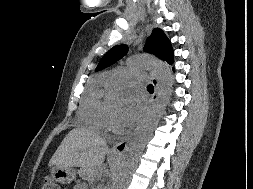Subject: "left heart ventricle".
Masks as SVG:
<instances>
[{"instance_id": "b2bd125f", "label": "left heart ventricle", "mask_w": 253, "mask_h": 189, "mask_svg": "<svg viewBox=\"0 0 253 189\" xmlns=\"http://www.w3.org/2000/svg\"><path fill=\"white\" fill-rule=\"evenodd\" d=\"M119 114V111H115L114 115L117 116Z\"/></svg>"}]
</instances>
